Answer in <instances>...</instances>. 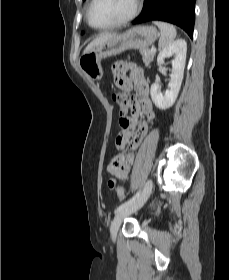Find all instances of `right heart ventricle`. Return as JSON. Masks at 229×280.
<instances>
[{
	"instance_id": "obj_1",
	"label": "right heart ventricle",
	"mask_w": 229,
	"mask_h": 280,
	"mask_svg": "<svg viewBox=\"0 0 229 280\" xmlns=\"http://www.w3.org/2000/svg\"><path fill=\"white\" fill-rule=\"evenodd\" d=\"M90 4H91V3H90ZM90 4L88 5V9H89ZM87 12H88V10H87Z\"/></svg>"
}]
</instances>
